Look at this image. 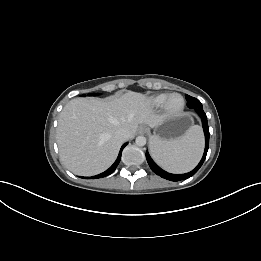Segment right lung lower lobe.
I'll use <instances>...</instances> for the list:
<instances>
[{"instance_id": "obj_1", "label": "right lung lower lobe", "mask_w": 261, "mask_h": 261, "mask_svg": "<svg viewBox=\"0 0 261 261\" xmlns=\"http://www.w3.org/2000/svg\"><path fill=\"white\" fill-rule=\"evenodd\" d=\"M127 145V143H125L124 145H122L121 149H120V152H119V155H118V158L116 159V161L114 162V164L108 169L106 170L105 172L101 173V174H98L96 176H92V177H81V178H85V179H98V178H102V177H105V176H108L110 175L111 173H113L116 169V167L118 166L119 162H120V159H121V154H122V150L124 149V147Z\"/></svg>"}]
</instances>
